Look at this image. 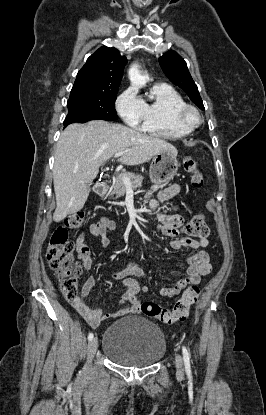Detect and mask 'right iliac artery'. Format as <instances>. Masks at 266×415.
Wrapping results in <instances>:
<instances>
[{
  "instance_id": "right-iliac-artery-1",
  "label": "right iliac artery",
  "mask_w": 266,
  "mask_h": 415,
  "mask_svg": "<svg viewBox=\"0 0 266 415\" xmlns=\"http://www.w3.org/2000/svg\"><path fill=\"white\" fill-rule=\"evenodd\" d=\"M93 337H94L93 333H89V335H88V340H92V339H93Z\"/></svg>"
}]
</instances>
